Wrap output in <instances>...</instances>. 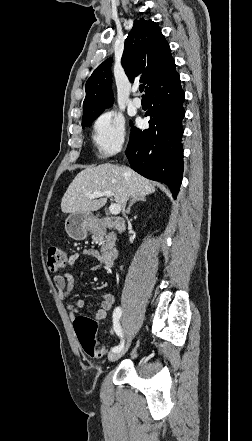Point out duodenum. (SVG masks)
<instances>
[{
	"label": "duodenum",
	"mask_w": 252,
	"mask_h": 441,
	"mask_svg": "<svg viewBox=\"0 0 252 441\" xmlns=\"http://www.w3.org/2000/svg\"><path fill=\"white\" fill-rule=\"evenodd\" d=\"M103 222L111 226L113 228H116L120 231H123L125 229L124 221L121 218L118 217H106ZM118 251L115 248H109L105 250L102 253V261L106 267H110L113 265L116 257H117Z\"/></svg>",
	"instance_id": "410a0bca"
}]
</instances>
